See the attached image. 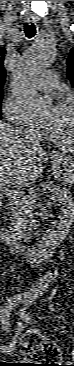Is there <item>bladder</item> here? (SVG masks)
Wrapping results in <instances>:
<instances>
[{
  "instance_id": "obj_1",
  "label": "bladder",
  "mask_w": 74,
  "mask_h": 366,
  "mask_svg": "<svg viewBox=\"0 0 74 366\" xmlns=\"http://www.w3.org/2000/svg\"><path fill=\"white\" fill-rule=\"evenodd\" d=\"M27 366H37V365H27Z\"/></svg>"
}]
</instances>
